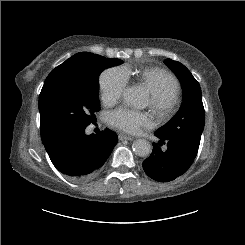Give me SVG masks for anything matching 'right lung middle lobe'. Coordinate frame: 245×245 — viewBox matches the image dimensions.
<instances>
[{"label": "right lung middle lobe", "mask_w": 245, "mask_h": 245, "mask_svg": "<svg viewBox=\"0 0 245 245\" xmlns=\"http://www.w3.org/2000/svg\"><path fill=\"white\" fill-rule=\"evenodd\" d=\"M74 63L48 76L39 97L42 142L71 129L86 128L100 110L98 78L116 58L81 52Z\"/></svg>", "instance_id": "obj_1"}]
</instances>
